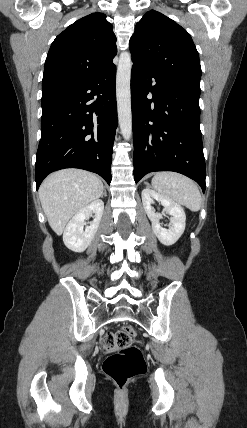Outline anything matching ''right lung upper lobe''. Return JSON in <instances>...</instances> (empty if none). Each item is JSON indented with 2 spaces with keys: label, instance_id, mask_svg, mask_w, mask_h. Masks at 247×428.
<instances>
[{
  "label": "right lung upper lobe",
  "instance_id": "1",
  "mask_svg": "<svg viewBox=\"0 0 247 428\" xmlns=\"http://www.w3.org/2000/svg\"><path fill=\"white\" fill-rule=\"evenodd\" d=\"M116 40L113 26L102 13L87 15L67 27L51 44L42 92L80 85L111 66Z\"/></svg>",
  "mask_w": 247,
  "mask_h": 428
}]
</instances>
